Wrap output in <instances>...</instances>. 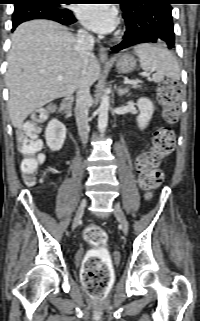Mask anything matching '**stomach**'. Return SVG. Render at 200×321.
I'll list each match as a JSON object with an SVG mask.
<instances>
[{"instance_id":"obj_1","label":"stomach","mask_w":200,"mask_h":321,"mask_svg":"<svg viewBox=\"0 0 200 321\" xmlns=\"http://www.w3.org/2000/svg\"><path fill=\"white\" fill-rule=\"evenodd\" d=\"M116 68L118 72L123 74L132 73L136 69L137 59L128 53L115 57Z\"/></svg>"}]
</instances>
